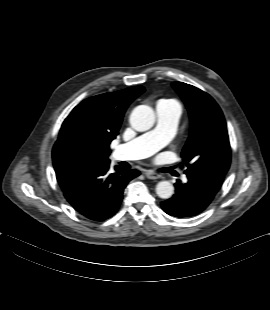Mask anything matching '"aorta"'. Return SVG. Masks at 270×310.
Wrapping results in <instances>:
<instances>
[{"label":"aorta","mask_w":270,"mask_h":310,"mask_svg":"<svg viewBox=\"0 0 270 310\" xmlns=\"http://www.w3.org/2000/svg\"><path fill=\"white\" fill-rule=\"evenodd\" d=\"M129 120L133 129L144 132L153 127L155 114L151 107L141 105L132 111ZM173 193L174 186L168 181H161L156 185V194L162 199L170 198Z\"/></svg>","instance_id":"762f6f07"}]
</instances>
